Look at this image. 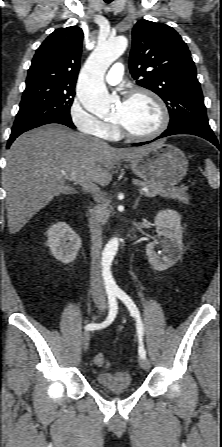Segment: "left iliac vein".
<instances>
[{"label":"left iliac vein","instance_id":"obj_1","mask_svg":"<svg viewBox=\"0 0 222 447\" xmlns=\"http://www.w3.org/2000/svg\"><path fill=\"white\" fill-rule=\"evenodd\" d=\"M138 362L140 367L144 370L150 369V362L146 357H140Z\"/></svg>","mask_w":222,"mask_h":447}]
</instances>
